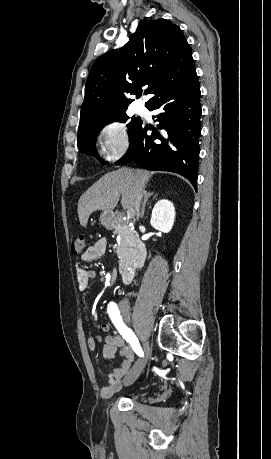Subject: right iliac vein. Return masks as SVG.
<instances>
[{
  "label": "right iliac vein",
  "mask_w": 271,
  "mask_h": 459,
  "mask_svg": "<svg viewBox=\"0 0 271 459\" xmlns=\"http://www.w3.org/2000/svg\"><path fill=\"white\" fill-rule=\"evenodd\" d=\"M124 315L128 318V320L131 319V313L128 310L124 311ZM144 348L146 351V355L149 354V345L147 342L144 343ZM146 365V358H141L139 359L134 366L130 369V371L127 373L126 377L123 379V383L125 385H131L141 374L142 369Z\"/></svg>",
  "instance_id": "right-iliac-vein-1"
}]
</instances>
